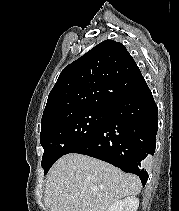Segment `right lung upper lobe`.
I'll use <instances>...</instances> for the list:
<instances>
[{"mask_svg":"<svg viewBox=\"0 0 179 211\" xmlns=\"http://www.w3.org/2000/svg\"><path fill=\"white\" fill-rule=\"evenodd\" d=\"M143 81L126 47L105 40L61 72L48 96L42 128L60 117L82 110L110 109Z\"/></svg>","mask_w":179,"mask_h":211,"instance_id":"1","label":"right lung upper lobe"}]
</instances>
